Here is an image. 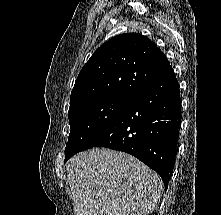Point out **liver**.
Segmentation results:
<instances>
[{"label": "liver", "instance_id": "liver-1", "mask_svg": "<svg viewBox=\"0 0 221 215\" xmlns=\"http://www.w3.org/2000/svg\"><path fill=\"white\" fill-rule=\"evenodd\" d=\"M66 172L76 215H148L163 191L156 172L134 156L108 148L72 157Z\"/></svg>", "mask_w": 221, "mask_h": 215}]
</instances>
